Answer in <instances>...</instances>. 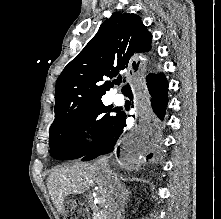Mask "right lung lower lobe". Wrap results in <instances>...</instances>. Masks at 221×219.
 I'll return each mask as SVG.
<instances>
[{
    "mask_svg": "<svg viewBox=\"0 0 221 219\" xmlns=\"http://www.w3.org/2000/svg\"><path fill=\"white\" fill-rule=\"evenodd\" d=\"M139 80V84L133 88V91L137 90V95L143 98V101L146 103L145 106L147 110L145 111V118L143 119V122L148 129V131L146 130L142 135H140L139 140L141 141L140 143H145L147 141L150 143V145H153L154 140H148V137L150 138V136H152L148 134L150 132L149 127H151L154 122L152 115L155 114L160 120H163L164 118L166 106L168 103V83L163 73H150L147 76L143 75L139 78ZM133 91L128 85L123 93L132 98ZM126 117L127 115L124 112L117 113L115 121L105 137L97 146H95L91 151L84 155L81 160H93L101 154L112 151L117 155V157L121 158H125L127 154L133 155L137 153L135 152V147H131L126 144L121 137V134L123 133L126 126ZM146 157L147 160L155 158L156 153H149Z\"/></svg>",
    "mask_w": 221,
    "mask_h": 219,
    "instance_id": "98d812e1",
    "label": "right lung lower lobe"
}]
</instances>
